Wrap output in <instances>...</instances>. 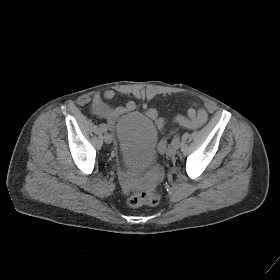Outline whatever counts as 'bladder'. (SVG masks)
<instances>
[{
    "instance_id": "obj_1",
    "label": "bladder",
    "mask_w": 280,
    "mask_h": 280,
    "mask_svg": "<svg viewBox=\"0 0 280 280\" xmlns=\"http://www.w3.org/2000/svg\"><path fill=\"white\" fill-rule=\"evenodd\" d=\"M123 164L130 170L143 171L155 161L158 130L154 122L139 112L122 116L115 127Z\"/></svg>"
}]
</instances>
